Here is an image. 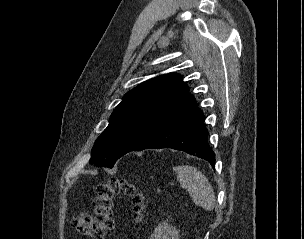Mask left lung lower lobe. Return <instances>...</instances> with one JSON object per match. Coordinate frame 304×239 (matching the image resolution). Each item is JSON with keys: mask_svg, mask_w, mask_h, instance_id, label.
<instances>
[{"mask_svg": "<svg viewBox=\"0 0 304 239\" xmlns=\"http://www.w3.org/2000/svg\"><path fill=\"white\" fill-rule=\"evenodd\" d=\"M207 137L203 112L195 102L154 130L130 151L172 148L205 159L214 168L215 155L208 145Z\"/></svg>", "mask_w": 304, "mask_h": 239, "instance_id": "left-lung-lower-lobe-1", "label": "left lung lower lobe"}]
</instances>
